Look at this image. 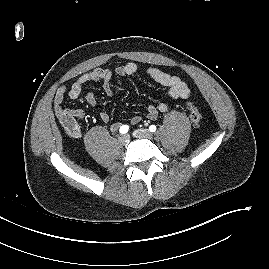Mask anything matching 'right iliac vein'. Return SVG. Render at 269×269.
<instances>
[{"label":"right iliac vein","mask_w":269,"mask_h":269,"mask_svg":"<svg viewBox=\"0 0 269 269\" xmlns=\"http://www.w3.org/2000/svg\"><path fill=\"white\" fill-rule=\"evenodd\" d=\"M130 141V138L128 135H121L119 137V143L122 144V145H127Z\"/></svg>","instance_id":"63e3f726"}]
</instances>
